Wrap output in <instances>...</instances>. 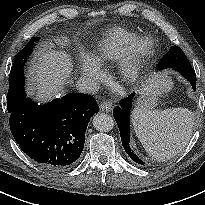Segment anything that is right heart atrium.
<instances>
[{
    "label": "right heart atrium",
    "mask_w": 205,
    "mask_h": 205,
    "mask_svg": "<svg viewBox=\"0 0 205 205\" xmlns=\"http://www.w3.org/2000/svg\"><path fill=\"white\" fill-rule=\"evenodd\" d=\"M76 59L80 65V72L82 76L91 79L93 77L94 69L87 57L83 53H78Z\"/></svg>",
    "instance_id": "obj_1"
}]
</instances>
